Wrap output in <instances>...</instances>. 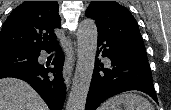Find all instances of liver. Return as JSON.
Listing matches in <instances>:
<instances>
[{
	"instance_id": "obj_1",
	"label": "liver",
	"mask_w": 171,
	"mask_h": 110,
	"mask_svg": "<svg viewBox=\"0 0 171 110\" xmlns=\"http://www.w3.org/2000/svg\"><path fill=\"white\" fill-rule=\"evenodd\" d=\"M0 110H48L37 92L16 78L0 79Z\"/></svg>"
}]
</instances>
